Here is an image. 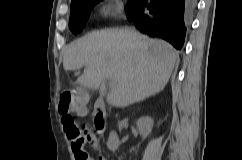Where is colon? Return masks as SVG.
I'll list each match as a JSON object with an SVG mask.
<instances>
[{
  "label": "colon",
  "instance_id": "obj_1",
  "mask_svg": "<svg viewBox=\"0 0 242 160\" xmlns=\"http://www.w3.org/2000/svg\"><path fill=\"white\" fill-rule=\"evenodd\" d=\"M86 96L75 90L66 89L61 92L59 112L63 115L62 124L67 136L73 141V146L78 150L79 160H92L89 154L81 151V146L87 141L84 129L75 121L72 113L85 108Z\"/></svg>",
  "mask_w": 242,
  "mask_h": 160
}]
</instances>
